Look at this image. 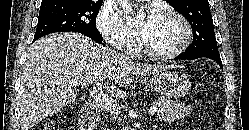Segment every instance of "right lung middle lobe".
Listing matches in <instances>:
<instances>
[{
	"mask_svg": "<svg viewBox=\"0 0 249 130\" xmlns=\"http://www.w3.org/2000/svg\"><path fill=\"white\" fill-rule=\"evenodd\" d=\"M102 2L63 0L42 5L34 38L54 32H79L101 43L103 38L96 28V16Z\"/></svg>",
	"mask_w": 249,
	"mask_h": 130,
	"instance_id": "dd1d6c3e",
	"label": "right lung middle lobe"
}]
</instances>
